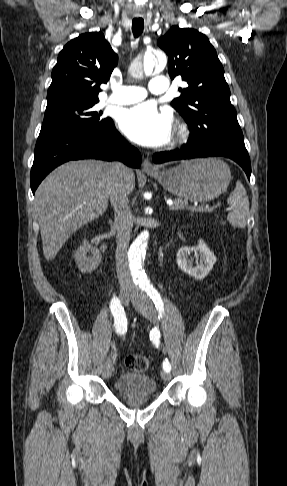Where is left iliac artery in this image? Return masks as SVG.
Segmentation results:
<instances>
[{"label":"left iliac artery","mask_w":287,"mask_h":486,"mask_svg":"<svg viewBox=\"0 0 287 486\" xmlns=\"http://www.w3.org/2000/svg\"><path fill=\"white\" fill-rule=\"evenodd\" d=\"M144 290L153 300L156 309L159 311V316L162 317V314L164 313V303L160 294L152 285L146 286ZM159 338H160L159 330L157 328L152 329V331L150 332V340L153 342V344L156 347H158L160 344ZM163 369L166 372H170L171 370V365L167 359H165L163 362Z\"/></svg>","instance_id":"44dca946"}]
</instances>
